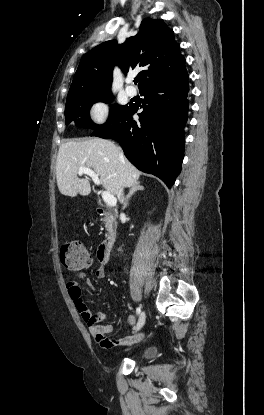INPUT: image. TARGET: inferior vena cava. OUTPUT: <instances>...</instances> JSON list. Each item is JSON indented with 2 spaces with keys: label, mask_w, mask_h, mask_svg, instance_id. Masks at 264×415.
I'll list each match as a JSON object with an SVG mask.
<instances>
[{
  "label": "inferior vena cava",
  "mask_w": 264,
  "mask_h": 415,
  "mask_svg": "<svg viewBox=\"0 0 264 415\" xmlns=\"http://www.w3.org/2000/svg\"><path fill=\"white\" fill-rule=\"evenodd\" d=\"M121 157H123V153L121 152ZM118 198L120 200V202L124 201V193H123V188L120 189L119 194H118Z\"/></svg>",
  "instance_id": "602c4592"
}]
</instances>
